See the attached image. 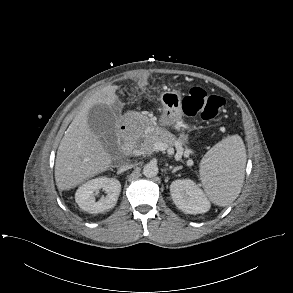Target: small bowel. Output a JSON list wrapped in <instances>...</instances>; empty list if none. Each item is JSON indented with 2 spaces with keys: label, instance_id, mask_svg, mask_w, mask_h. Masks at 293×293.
Listing matches in <instances>:
<instances>
[{
  "label": "small bowel",
  "instance_id": "c3829d8e",
  "mask_svg": "<svg viewBox=\"0 0 293 293\" xmlns=\"http://www.w3.org/2000/svg\"><path fill=\"white\" fill-rule=\"evenodd\" d=\"M181 143H182L183 145H186V144H187V139H186L185 137H182V138H181Z\"/></svg>",
  "mask_w": 293,
  "mask_h": 293
}]
</instances>
